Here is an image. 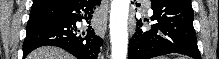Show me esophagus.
I'll use <instances>...</instances> for the list:
<instances>
[{
    "label": "esophagus",
    "mask_w": 219,
    "mask_h": 59,
    "mask_svg": "<svg viewBox=\"0 0 219 59\" xmlns=\"http://www.w3.org/2000/svg\"><path fill=\"white\" fill-rule=\"evenodd\" d=\"M104 12H107L108 10V0H103V6H102ZM105 21V20H104ZM98 34L101 36V37H104L105 36V32H106V24L105 22H103L102 26L100 27L99 30H97Z\"/></svg>",
    "instance_id": "esophagus-1"
}]
</instances>
